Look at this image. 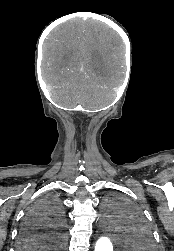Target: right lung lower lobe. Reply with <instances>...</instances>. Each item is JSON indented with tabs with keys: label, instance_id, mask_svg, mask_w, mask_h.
I'll list each match as a JSON object with an SVG mask.
<instances>
[{
	"label": "right lung lower lobe",
	"instance_id": "obj_1",
	"mask_svg": "<svg viewBox=\"0 0 174 251\" xmlns=\"http://www.w3.org/2000/svg\"><path fill=\"white\" fill-rule=\"evenodd\" d=\"M48 232V228L45 226L27 223L25 222L20 230L19 242H18V250L19 251H39L40 249H21L20 247L27 245H37L40 240V236ZM61 244L59 243L58 246Z\"/></svg>",
	"mask_w": 174,
	"mask_h": 251
}]
</instances>
